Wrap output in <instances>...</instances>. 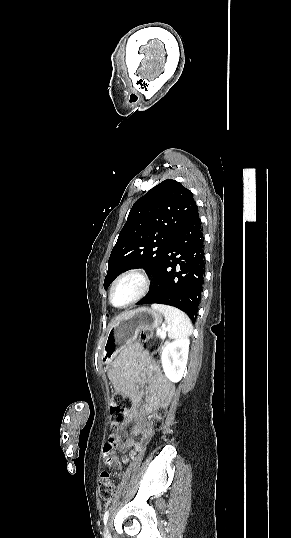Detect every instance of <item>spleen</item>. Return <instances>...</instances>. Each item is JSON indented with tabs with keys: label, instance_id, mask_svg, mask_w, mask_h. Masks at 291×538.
<instances>
[{
	"label": "spleen",
	"instance_id": "spleen-1",
	"mask_svg": "<svg viewBox=\"0 0 291 538\" xmlns=\"http://www.w3.org/2000/svg\"><path fill=\"white\" fill-rule=\"evenodd\" d=\"M151 307L164 315L170 339L184 338L192 334L191 321L181 310L163 304H153Z\"/></svg>",
	"mask_w": 291,
	"mask_h": 538
}]
</instances>
